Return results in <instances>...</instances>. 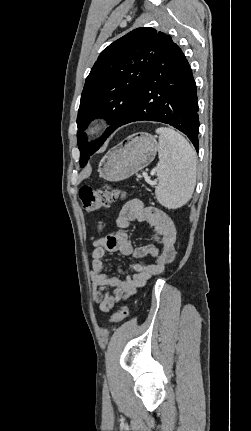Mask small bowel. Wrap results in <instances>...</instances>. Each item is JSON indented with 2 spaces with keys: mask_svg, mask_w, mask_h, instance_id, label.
<instances>
[{
  "mask_svg": "<svg viewBox=\"0 0 251 431\" xmlns=\"http://www.w3.org/2000/svg\"><path fill=\"white\" fill-rule=\"evenodd\" d=\"M147 222L153 228V239L160 245L148 244L134 249L127 234L120 230L110 234H100L93 242L91 279L93 281V301L102 312H109L116 304L136 294L153 276L161 274L175 258L176 227L172 219L163 211L145 207L138 199L126 202L119 213L117 224L126 228L131 222ZM103 226L98 224L102 232ZM107 252H120L122 255L140 259L148 255L154 263H134L133 273L123 277L108 274L103 269V258Z\"/></svg>",
  "mask_w": 251,
  "mask_h": 431,
  "instance_id": "obj_1",
  "label": "small bowel"
}]
</instances>
